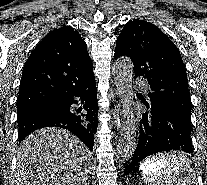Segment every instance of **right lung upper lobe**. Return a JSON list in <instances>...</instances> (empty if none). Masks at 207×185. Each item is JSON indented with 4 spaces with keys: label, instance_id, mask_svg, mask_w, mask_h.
<instances>
[{
    "label": "right lung upper lobe",
    "instance_id": "right-lung-upper-lobe-1",
    "mask_svg": "<svg viewBox=\"0 0 207 185\" xmlns=\"http://www.w3.org/2000/svg\"><path fill=\"white\" fill-rule=\"evenodd\" d=\"M86 43L71 26L49 32L27 59L20 83L17 112L56 102L74 85L94 77Z\"/></svg>",
    "mask_w": 207,
    "mask_h": 185
}]
</instances>
